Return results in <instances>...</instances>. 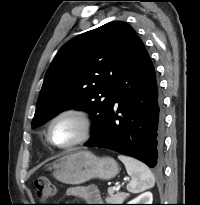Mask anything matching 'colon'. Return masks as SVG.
Returning <instances> with one entry per match:
<instances>
[{
    "label": "colon",
    "instance_id": "5ec220e1",
    "mask_svg": "<svg viewBox=\"0 0 200 205\" xmlns=\"http://www.w3.org/2000/svg\"><path fill=\"white\" fill-rule=\"evenodd\" d=\"M38 197L47 201L52 199L56 195V186L47 177H40L35 182Z\"/></svg>",
    "mask_w": 200,
    "mask_h": 205
}]
</instances>
